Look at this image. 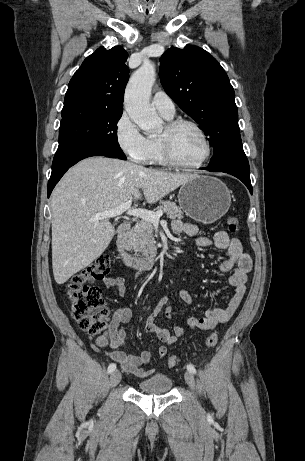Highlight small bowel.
<instances>
[{
	"instance_id": "1",
	"label": "small bowel",
	"mask_w": 305,
	"mask_h": 461,
	"mask_svg": "<svg viewBox=\"0 0 305 461\" xmlns=\"http://www.w3.org/2000/svg\"><path fill=\"white\" fill-rule=\"evenodd\" d=\"M172 230L175 234H187L196 236L198 227L193 223L174 220L172 222ZM195 245L199 248L215 246L216 248L226 251L228 258L219 265L220 273L231 274L228 277L229 284L234 288L233 295L225 308H214L208 310L204 316L187 318L189 329L212 330L217 325L227 322L235 313L241 304L246 293L247 274L251 271L252 260L250 256L244 252L239 239L229 237L224 231L217 232L213 238L197 237ZM103 285L106 288H115L120 297H124L127 292L125 280L122 277H106L103 279ZM180 298L185 303L192 302V296L185 290L179 292ZM173 306L169 304V296L163 295L153 311L148 315L145 321V331L153 333L162 342V345L157 350V357L164 358L167 355L168 345L176 342L178 337L185 335L186 330L179 326H174L172 332L167 328L159 325L158 317L161 313L168 319H172ZM132 318V311L128 307L118 308L113 315L107 319V327L102 335L96 339V343L100 347H109L111 351L108 356L113 361L117 362L120 368L137 378H147L155 371L154 368L148 367L151 360L149 351H142L139 354H126L120 351L119 348L126 346V332L123 327Z\"/></svg>"
}]
</instances>
